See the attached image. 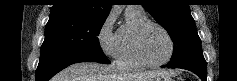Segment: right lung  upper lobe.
I'll return each instance as SVG.
<instances>
[{
	"instance_id": "right-lung-upper-lobe-1",
	"label": "right lung upper lobe",
	"mask_w": 237,
	"mask_h": 81,
	"mask_svg": "<svg viewBox=\"0 0 237 81\" xmlns=\"http://www.w3.org/2000/svg\"><path fill=\"white\" fill-rule=\"evenodd\" d=\"M112 0H56L50 19L63 16H82L106 19Z\"/></svg>"
}]
</instances>
